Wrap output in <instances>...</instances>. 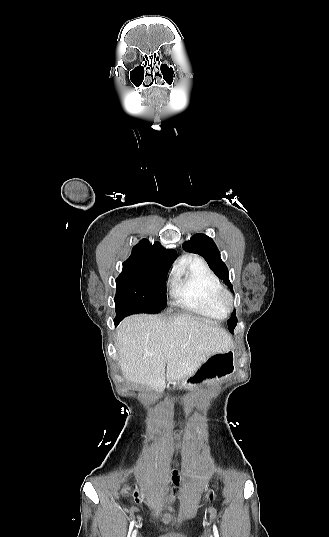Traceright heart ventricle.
I'll return each instance as SVG.
<instances>
[{
	"label": "right heart ventricle",
	"mask_w": 329,
	"mask_h": 537,
	"mask_svg": "<svg viewBox=\"0 0 329 537\" xmlns=\"http://www.w3.org/2000/svg\"><path fill=\"white\" fill-rule=\"evenodd\" d=\"M221 288L209 266L202 259L194 258L177 269L171 283V295L176 305L190 312L222 318L225 312L216 301Z\"/></svg>",
	"instance_id": "1"
}]
</instances>
